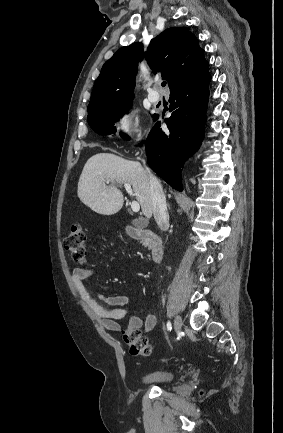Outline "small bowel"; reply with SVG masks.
<instances>
[{"label":"small bowel","mask_w":283,"mask_h":433,"mask_svg":"<svg viewBox=\"0 0 283 433\" xmlns=\"http://www.w3.org/2000/svg\"><path fill=\"white\" fill-rule=\"evenodd\" d=\"M94 274V270L87 268H75L72 271V281L80 294V297L103 319L104 326L111 331H119L120 325L117 320L124 318L130 311L129 303L132 301L131 295L107 296L99 294L98 299L107 306H103L85 286L84 281ZM157 319L151 312L133 315L128 323V329H144L150 332L154 329Z\"/></svg>","instance_id":"c3829d8e"}]
</instances>
